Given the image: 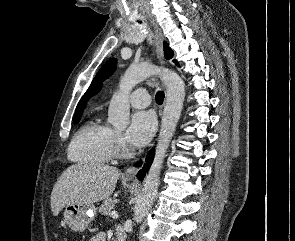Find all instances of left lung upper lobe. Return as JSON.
Here are the masks:
<instances>
[{"label": "left lung upper lobe", "instance_id": "left-lung-upper-lobe-1", "mask_svg": "<svg viewBox=\"0 0 295 241\" xmlns=\"http://www.w3.org/2000/svg\"><path fill=\"white\" fill-rule=\"evenodd\" d=\"M164 52L166 59H171L173 57V51L166 42H164ZM116 62V59L111 58L102 66L85 93L87 97L95 95L100 91L102 87V81L115 70Z\"/></svg>", "mask_w": 295, "mask_h": 241}]
</instances>
